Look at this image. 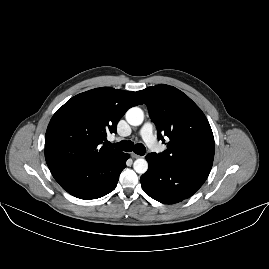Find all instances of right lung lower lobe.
<instances>
[{"label": "right lung lower lobe", "instance_id": "1", "mask_svg": "<svg viewBox=\"0 0 269 269\" xmlns=\"http://www.w3.org/2000/svg\"><path fill=\"white\" fill-rule=\"evenodd\" d=\"M128 158L129 154L118 151L92 162L60 164L50 170L68 193L90 200L103 197L115 189Z\"/></svg>", "mask_w": 269, "mask_h": 269}]
</instances>
